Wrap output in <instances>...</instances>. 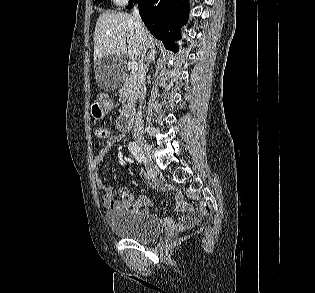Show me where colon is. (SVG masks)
<instances>
[{
  "mask_svg": "<svg viewBox=\"0 0 315 293\" xmlns=\"http://www.w3.org/2000/svg\"><path fill=\"white\" fill-rule=\"evenodd\" d=\"M94 136L98 140H105L108 137V132L104 127L98 126L94 128ZM201 209L205 214H210L212 211V208L208 203H203Z\"/></svg>",
  "mask_w": 315,
  "mask_h": 293,
  "instance_id": "5ec220e1",
  "label": "colon"
}]
</instances>
